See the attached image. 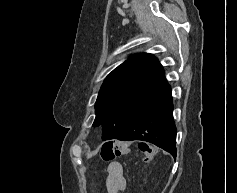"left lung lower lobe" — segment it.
Here are the masks:
<instances>
[{
  "label": "left lung lower lobe",
  "mask_w": 237,
  "mask_h": 193,
  "mask_svg": "<svg viewBox=\"0 0 237 193\" xmlns=\"http://www.w3.org/2000/svg\"><path fill=\"white\" fill-rule=\"evenodd\" d=\"M172 111L171 88L163 75L146 91L116 139L150 142L176 158V127Z\"/></svg>",
  "instance_id": "left-lung-lower-lobe-1"
}]
</instances>
